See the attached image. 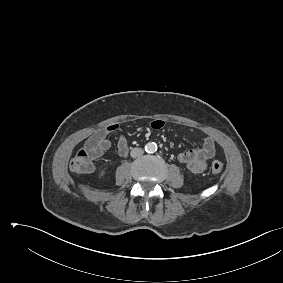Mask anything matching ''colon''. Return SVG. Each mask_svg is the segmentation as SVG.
Listing matches in <instances>:
<instances>
[{
    "instance_id": "obj_1",
    "label": "colon",
    "mask_w": 283,
    "mask_h": 283,
    "mask_svg": "<svg viewBox=\"0 0 283 283\" xmlns=\"http://www.w3.org/2000/svg\"><path fill=\"white\" fill-rule=\"evenodd\" d=\"M70 169L75 173H88L93 169L92 157L86 149L80 150L70 162ZM223 170V164L219 161H213L211 171L219 174Z\"/></svg>"
}]
</instances>
